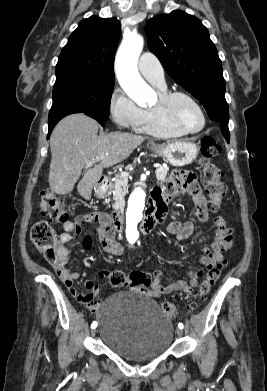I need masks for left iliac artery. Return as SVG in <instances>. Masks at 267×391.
Here are the masks:
<instances>
[{
	"label": "left iliac artery",
	"instance_id": "1",
	"mask_svg": "<svg viewBox=\"0 0 267 391\" xmlns=\"http://www.w3.org/2000/svg\"><path fill=\"white\" fill-rule=\"evenodd\" d=\"M178 327H179L180 329H183V324H182V323H179V324H178Z\"/></svg>",
	"mask_w": 267,
	"mask_h": 391
}]
</instances>
